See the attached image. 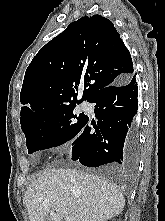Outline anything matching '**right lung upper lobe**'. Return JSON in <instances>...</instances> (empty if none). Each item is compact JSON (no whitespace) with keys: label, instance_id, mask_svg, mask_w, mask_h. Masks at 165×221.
Wrapping results in <instances>:
<instances>
[{"label":"right lung upper lobe","instance_id":"right-lung-upper-lobe-1","mask_svg":"<svg viewBox=\"0 0 165 221\" xmlns=\"http://www.w3.org/2000/svg\"><path fill=\"white\" fill-rule=\"evenodd\" d=\"M134 74L128 49L112 22L84 16L43 46L28 66L20 93V123L89 101L99 90ZM83 98L77 101L80 84Z\"/></svg>","mask_w":165,"mask_h":221}]
</instances>
